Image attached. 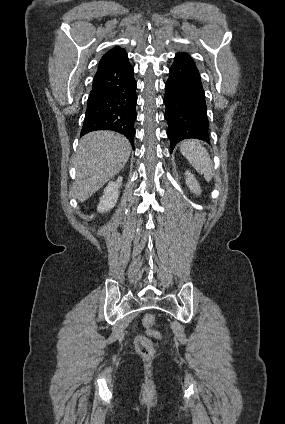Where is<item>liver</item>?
Here are the masks:
<instances>
[{
    "instance_id": "liver-1",
    "label": "liver",
    "mask_w": 285,
    "mask_h": 424,
    "mask_svg": "<svg viewBox=\"0 0 285 424\" xmlns=\"http://www.w3.org/2000/svg\"><path fill=\"white\" fill-rule=\"evenodd\" d=\"M131 145L126 137L113 131H94L80 140L75 197L83 202L119 173L127 163Z\"/></svg>"
}]
</instances>
